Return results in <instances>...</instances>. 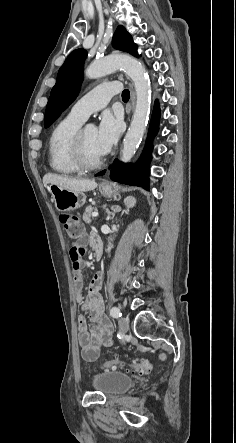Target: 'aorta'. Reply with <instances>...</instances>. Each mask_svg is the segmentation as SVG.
<instances>
[{
	"label": "aorta",
	"mask_w": 236,
	"mask_h": 443,
	"mask_svg": "<svg viewBox=\"0 0 236 443\" xmlns=\"http://www.w3.org/2000/svg\"><path fill=\"white\" fill-rule=\"evenodd\" d=\"M122 68L135 85L136 106L133 119L123 141L121 160L128 162L133 157L145 132L150 114L151 86L141 62L128 55H111L94 62L85 71L90 79L103 77Z\"/></svg>",
	"instance_id": "aorta-1"
}]
</instances>
